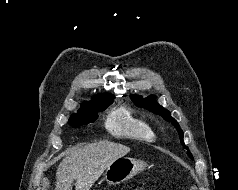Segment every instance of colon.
Returning a JSON list of instances; mask_svg holds the SVG:
<instances>
[{
	"label": "colon",
	"instance_id": "colon-1",
	"mask_svg": "<svg viewBox=\"0 0 238 190\" xmlns=\"http://www.w3.org/2000/svg\"><path fill=\"white\" fill-rule=\"evenodd\" d=\"M134 190H144V189H142V188H136V189H134Z\"/></svg>",
	"mask_w": 238,
	"mask_h": 190
}]
</instances>
